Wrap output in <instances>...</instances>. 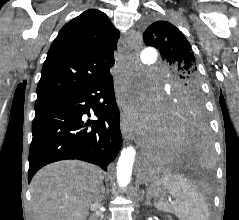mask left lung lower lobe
<instances>
[{
    "mask_svg": "<svg viewBox=\"0 0 239 220\" xmlns=\"http://www.w3.org/2000/svg\"><path fill=\"white\" fill-rule=\"evenodd\" d=\"M161 124L163 141L145 159V170L203 162L211 157L209 131L202 110L192 109L182 112L167 107Z\"/></svg>",
    "mask_w": 239,
    "mask_h": 220,
    "instance_id": "1",
    "label": "left lung lower lobe"
}]
</instances>
